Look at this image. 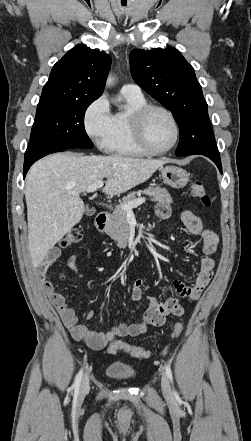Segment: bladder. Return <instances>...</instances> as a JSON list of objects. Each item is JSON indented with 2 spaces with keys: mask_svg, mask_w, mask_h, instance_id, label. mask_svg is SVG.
<instances>
[{
  "mask_svg": "<svg viewBox=\"0 0 251 441\" xmlns=\"http://www.w3.org/2000/svg\"><path fill=\"white\" fill-rule=\"evenodd\" d=\"M105 374L111 379L119 381L132 380L136 376L134 369L123 364H110L105 369Z\"/></svg>",
  "mask_w": 251,
  "mask_h": 441,
  "instance_id": "obj_1",
  "label": "bladder"
}]
</instances>
